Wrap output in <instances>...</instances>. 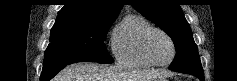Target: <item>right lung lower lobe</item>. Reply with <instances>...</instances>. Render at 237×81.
<instances>
[{
    "instance_id": "98d812e1",
    "label": "right lung lower lobe",
    "mask_w": 237,
    "mask_h": 81,
    "mask_svg": "<svg viewBox=\"0 0 237 81\" xmlns=\"http://www.w3.org/2000/svg\"><path fill=\"white\" fill-rule=\"evenodd\" d=\"M72 63L76 62L43 65L40 81H50V79H52L60 70H62L64 67Z\"/></svg>"
}]
</instances>
